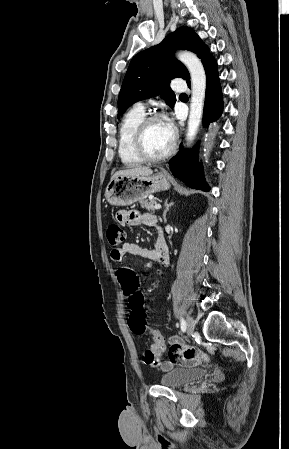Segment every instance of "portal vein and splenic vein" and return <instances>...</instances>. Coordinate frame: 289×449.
Masks as SVG:
<instances>
[{
	"instance_id": "obj_1",
	"label": "portal vein and splenic vein",
	"mask_w": 289,
	"mask_h": 449,
	"mask_svg": "<svg viewBox=\"0 0 289 449\" xmlns=\"http://www.w3.org/2000/svg\"><path fill=\"white\" fill-rule=\"evenodd\" d=\"M160 208H161V205H160V204H156V205H155V209H156V210H158V209H160Z\"/></svg>"
}]
</instances>
